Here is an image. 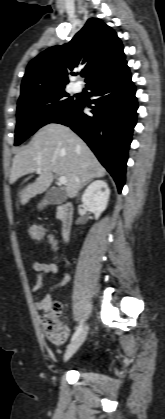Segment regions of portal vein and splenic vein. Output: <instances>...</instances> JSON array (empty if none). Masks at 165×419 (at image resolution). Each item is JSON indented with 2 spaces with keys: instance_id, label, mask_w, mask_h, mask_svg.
I'll return each mask as SVG.
<instances>
[{
  "instance_id": "1",
  "label": "portal vein and splenic vein",
  "mask_w": 165,
  "mask_h": 419,
  "mask_svg": "<svg viewBox=\"0 0 165 419\" xmlns=\"http://www.w3.org/2000/svg\"><path fill=\"white\" fill-rule=\"evenodd\" d=\"M36 171L37 172H40L41 171V168H37ZM58 181H59V184H61V185H65L67 183V179L65 177H63V176L59 177L58 178Z\"/></svg>"
}]
</instances>
